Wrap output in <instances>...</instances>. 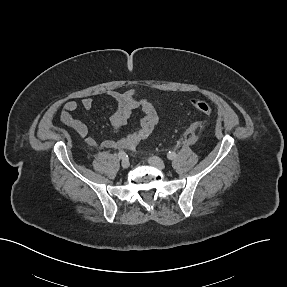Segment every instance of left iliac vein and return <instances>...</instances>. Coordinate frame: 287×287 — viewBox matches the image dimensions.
Returning <instances> with one entry per match:
<instances>
[{
  "instance_id": "1",
  "label": "left iliac vein",
  "mask_w": 287,
  "mask_h": 287,
  "mask_svg": "<svg viewBox=\"0 0 287 287\" xmlns=\"http://www.w3.org/2000/svg\"><path fill=\"white\" fill-rule=\"evenodd\" d=\"M148 163L160 170L165 168V162L157 156L150 157Z\"/></svg>"
}]
</instances>
